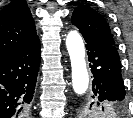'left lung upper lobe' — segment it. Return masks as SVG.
Here are the masks:
<instances>
[{"label": "left lung upper lobe", "instance_id": "5c2ea615", "mask_svg": "<svg viewBox=\"0 0 133 118\" xmlns=\"http://www.w3.org/2000/svg\"><path fill=\"white\" fill-rule=\"evenodd\" d=\"M73 25H75L82 33L96 39L99 42L111 45L115 47V41L111 34L110 26L93 8L80 5L78 6L72 15L71 19ZM125 105V102H98L93 94L84 97L79 102V107L82 116L96 115L97 113L104 112L111 113L115 110L121 111Z\"/></svg>", "mask_w": 133, "mask_h": 118}]
</instances>
